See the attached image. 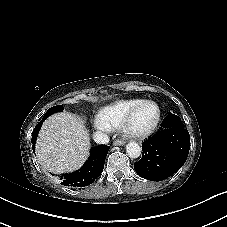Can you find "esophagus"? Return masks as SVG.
<instances>
[{"label":"esophagus","instance_id":"34e87169","mask_svg":"<svg viewBox=\"0 0 227 227\" xmlns=\"http://www.w3.org/2000/svg\"><path fill=\"white\" fill-rule=\"evenodd\" d=\"M126 142H125V140H122V139H117V140H114L113 141V145L114 146H122V145H124Z\"/></svg>","mask_w":227,"mask_h":227}]
</instances>
